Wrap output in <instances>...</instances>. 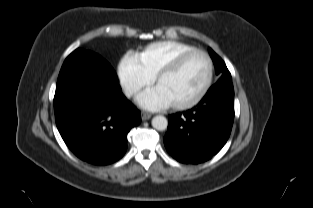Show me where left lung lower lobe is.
I'll return each instance as SVG.
<instances>
[{
  "mask_svg": "<svg viewBox=\"0 0 313 208\" xmlns=\"http://www.w3.org/2000/svg\"><path fill=\"white\" fill-rule=\"evenodd\" d=\"M233 120L232 82H217L192 109L169 116L165 147L179 162L207 161L227 142Z\"/></svg>",
  "mask_w": 313,
  "mask_h": 208,
  "instance_id": "left-lung-lower-lobe-1",
  "label": "left lung lower lobe"
}]
</instances>
